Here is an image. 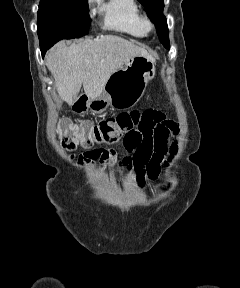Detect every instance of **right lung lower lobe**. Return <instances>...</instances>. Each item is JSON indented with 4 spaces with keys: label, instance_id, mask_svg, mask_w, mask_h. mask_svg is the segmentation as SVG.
Masks as SVG:
<instances>
[{
    "label": "right lung lower lobe",
    "instance_id": "right-lung-lower-lobe-1",
    "mask_svg": "<svg viewBox=\"0 0 240 288\" xmlns=\"http://www.w3.org/2000/svg\"><path fill=\"white\" fill-rule=\"evenodd\" d=\"M42 56L45 55L46 51L50 48V46H40Z\"/></svg>",
    "mask_w": 240,
    "mask_h": 288
}]
</instances>
